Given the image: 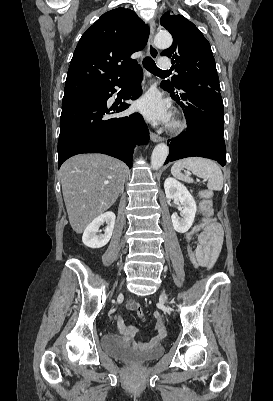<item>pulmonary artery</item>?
Listing matches in <instances>:
<instances>
[{
    "instance_id": "pulmonary-artery-1",
    "label": "pulmonary artery",
    "mask_w": 273,
    "mask_h": 401,
    "mask_svg": "<svg viewBox=\"0 0 273 401\" xmlns=\"http://www.w3.org/2000/svg\"><path fill=\"white\" fill-rule=\"evenodd\" d=\"M163 72H171L173 70L172 60L170 57H160L158 60Z\"/></svg>"
}]
</instances>
